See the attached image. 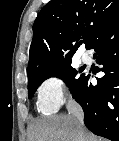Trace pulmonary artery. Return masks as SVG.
Here are the masks:
<instances>
[{
  "instance_id": "pulmonary-artery-1",
  "label": "pulmonary artery",
  "mask_w": 119,
  "mask_h": 141,
  "mask_svg": "<svg viewBox=\"0 0 119 141\" xmlns=\"http://www.w3.org/2000/svg\"><path fill=\"white\" fill-rule=\"evenodd\" d=\"M80 59L84 63H89L90 62V56L86 53L81 54Z\"/></svg>"
}]
</instances>
